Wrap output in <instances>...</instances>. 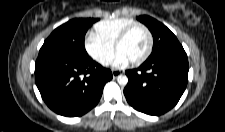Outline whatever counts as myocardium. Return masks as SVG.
<instances>
[{
    "instance_id": "f54148a6",
    "label": "myocardium",
    "mask_w": 225,
    "mask_h": 132,
    "mask_svg": "<svg viewBox=\"0 0 225 132\" xmlns=\"http://www.w3.org/2000/svg\"><path fill=\"white\" fill-rule=\"evenodd\" d=\"M135 29H142L145 31V33L147 34V37H148V47H147V50L145 51V53L139 57L138 59L136 60H133V61H130V63L132 65H139L141 63H143L144 61H146L148 59V57L151 55L152 53V50H153V35L150 31V29L141 24V23H136V24H133L129 27H127L119 36L118 38L116 39V42L114 44V47H115V50L116 52H118L119 50V47L121 46V44L127 39V37L135 30Z\"/></svg>"
}]
</instances>
